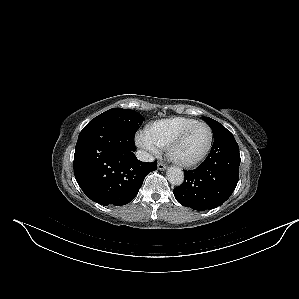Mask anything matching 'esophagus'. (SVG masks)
I'll return each mask as SVG.
<instances>
[{"instance_id":"1","label":"esophagus","mask_w":299,"mask_h":299,"mask_svg":"<svg viewBox=\"0 0 299 299\" xmlns=\"http://www.w3.org/2000/svg\"><path fill=\"white\" fill-rule=\"evenodd\" d=\"M167 168V166L163 163H158V169L159 170H165Z\"/></svg>"}]
</instances>
